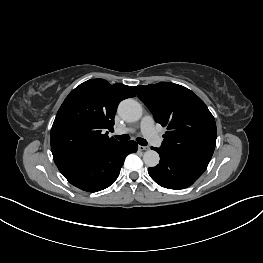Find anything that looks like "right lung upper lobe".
<instances>
[{"instance_id":"cb5924a9","label":"right lung upper lobe","mask_w":263,"mask_h":263,"mask_svg":"<svg viewBox=\"0 0 263 263\" xmlns=\"http://www.w3.org/2000/svg\"><path fill=\"white\" fill-rule=\"evenodd\" d=\"M131 88L92 79L70 92L51 129V150L57 167L119 143L108 137L107 130H113L120 101L135 96Z\"/></svg>"}]
</instances>
